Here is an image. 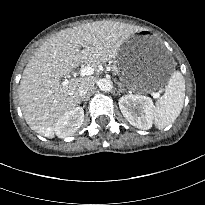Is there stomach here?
Returning a JSON list of instances; mask_svg holds the SVG:
<instances>
[{"label":"stomach","mask_w":205,"mask_h":205,"mask_svg":"<svg viewBox=\"0 0 205 205\" xmlns=\"http://www.w3.org/2000/svg\"><path fill=\"white\" fill-rule=\"evenodd\" d=\"M117 65L122 80L131 90L151 91L163 84L159 79V73L148 76L146 70L150 67H158L169 61L168 54L164 51L159 39L142 31L130 36L119 48Z\"/></svg>","instance_id":"obj_1"}]
</instances>
